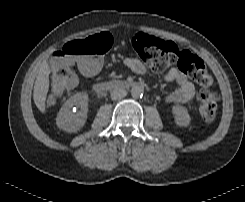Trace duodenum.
Masks as SVG:
<instances>
[{"instance_id": "obj_1", "label": "duodenum", "mask_w": 245, "mask_h": 202, "mask_svg": "<svg viewBox=\"0 0 245 202\" xmlns=\"http://www.w3.org/2000/svg\"><path fill=\"white\" fill-rule=\"evenodd\" d=\"M139 83L131 80V81H112L108 80L94 86V91L97 93H103L107 90H128L138 86Z\"/></svg>"}]
</instances>
